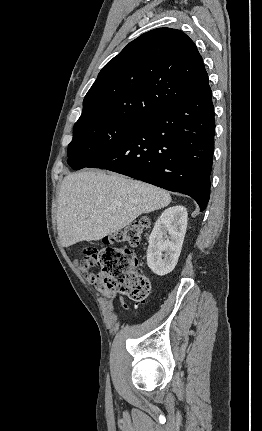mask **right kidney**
<instances>
[{
  "mask_svg": "<svg viewBox=\"0 0 262 431\" xmlns=\"http://www.w3.org/2000/svg\"><path fill=\"white\" fill-rule=\"evenodd\" d=\"M187 218L186 208L173 206L157 219L147 249V265L155 274L163 276L175 268L186 233Z\"/></svg>",
  "mask_w": 262,
  "mask_h": 431,
  "instance_id": "1",
  "label": "right kidney"
}]
</instances>
